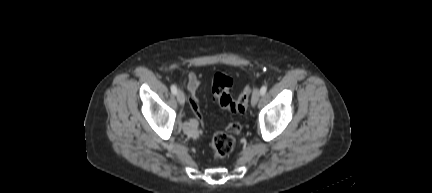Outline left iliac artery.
Returning <instances> with one entry per match:
<instances>
[{"mask_svg": "<svg viewBox=\"0 0 432 193\" xmlns=\"http://www.w3.org/2000/svg\"><path fill=\"white\" fill-rule=\"evenodd\" d=\"M266 91H267V86L266 85L262 86L260 89L261 95H264L266 93Z\"/></svg>", "mask_w": 432, "mask_h": 193, "instance_id": "44dca946", "label": "left iliac artery"}]
</instances>
